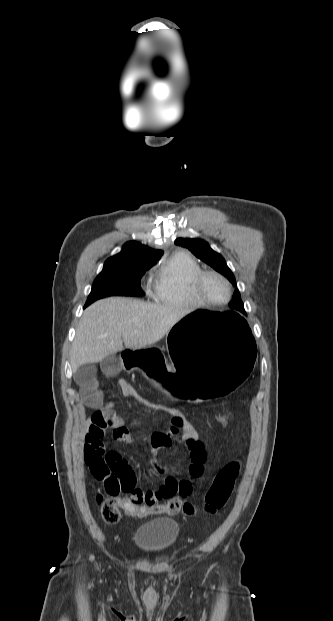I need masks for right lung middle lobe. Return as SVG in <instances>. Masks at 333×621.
Wrapping results in <instances>:
<instances>
[{"label":"right lung middle lobe","instance_id":"dd1d6c3e","mask_svg":"<svg viewBox=\"0 0 333 621\" xmlns=\"http://www.w3.org/2000/svg\"><path fill=\"white\" fill-rule=\"evenodd\" d=\"M152 265L139 263H105L93 283L84 307L107 296H144L141 277Z\"/></svg>","mask_w":333,"mask_h":621}]
</instances>
